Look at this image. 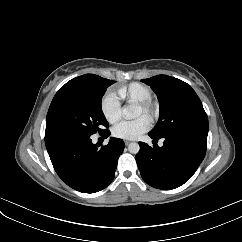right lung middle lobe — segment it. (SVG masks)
<instances>
[{
	"label": "right lung middle lobe",
	"mask_w": 242,
	"mask_h": 242,
	"mask_svg": "<svg viewBox=\"0 0 242 242\" xmlns=\"http://www.w3.org/2000/svg\"><path fill=\"white\" fill-rule=\"evenodd\" d=\"M115 81L103 79L90 87L63 86L54 96L46 118L45 135L80 130L90 135L105 133L109 123L105 119L101 100L106 89Z\"/></svg>",
	"instance_id": "dd1d6c3e"
}]
</instances>
